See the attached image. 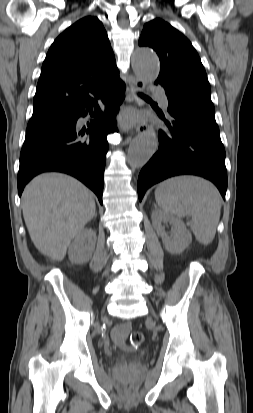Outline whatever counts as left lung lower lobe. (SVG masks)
Segmentation results:
<instances>
[{
	"mask_svg": "<svg viewBox=\"0 0 253 413\" xmlns=\"http://www.w3.org/2000/svg\"><path fill=\"white\" fill-rule=\"evenodd\" d=\"M169 119L159 130V148L138 177L141 201L152 185L172 176L192 174L212 181L225 199L227 171L215 110L187 97L167 92Z\"/></svg>",
	"mask_w": 253,
	"mask_h": 413,
	"instance_id": "0a47b994",
	"label": "left lung lower lobe"
}]
</instances>
